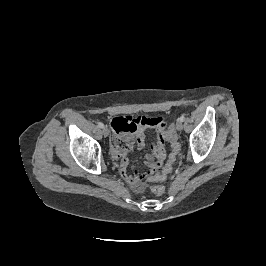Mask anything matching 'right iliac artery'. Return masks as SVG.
Listing matches in <instances>:
<instances>
[{"mask_svg": "<svg viewBox=\"0 0 266 266\" xmlns=\"http://www.w3.org/2000/svg\"><path fill=\"white\" fill-rule=\"evenodd\" d=\"M98 126L100 127V128H103L104 127V124L103 123H98Z\"/></svg>", "mask_w": 266, "mask_h": 266, "instance_id": "obj_1", "label": "right iliac artery"}]
</instances>
